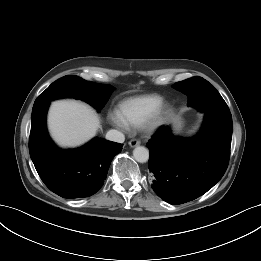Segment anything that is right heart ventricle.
<instances>
[{"instance_id": "e07e8e85", "label": "right heart ventricle", "mask_w": 261, "mask_h": 261, "mask_svg": "<svg viewBox=\"0 0 261 261\" xmlns=\"http://www.w3.org/2000/svg\"><path fill=\"white\" fill-rule=\"evenodd\" d=\"M161 102L162 97L157 94L129 97L117 104L115 112L127 127H136L142 124Z\"/></svg>"}]
</instances>
